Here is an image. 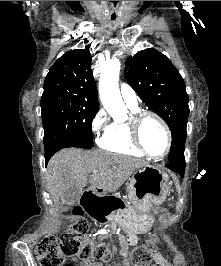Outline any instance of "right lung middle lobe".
<instances>
[{"label": "right lung middle lobe", "instance_id": "dd1d6c3e", "mask_svg": "<svg viewBox=\"0 0 221 266\" xmlns=\"http://www.w3.org/2000/svg\"><path fill=\"white\" fill-rule=\"evenodd\" d=\"M45 153L66 147L92 148V121L98 111L75 95L44 92L41 98Z\"/></svg>", "mask_w": 221, "mask_h": 266}]
</instances>
